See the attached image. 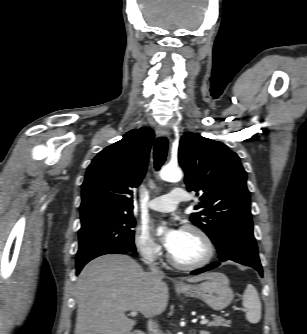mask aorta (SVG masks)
<instances>
[{
  "label": "aorta",
  "instance_id": "aorta-1",
  "mask_svg": "<svg viewBox=\"0 0 307 334\" xmlns=\"http://www.w3.org/2000/svg\"><path fill=\"white\" fill-rule=\"evenodd\" d=\"M160 177L164 181L178 182L182 178V171L178 167L165 166L160 172ZM158 235L164 233V227L157 229Z\"/></svg>",
  "mask_w": 307,
  "mask_h": 334
}]
</instances>
